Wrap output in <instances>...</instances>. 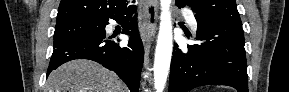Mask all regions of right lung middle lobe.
<instances>
[{
	"instance_id": "right-lung-middle-lobe-1",
	"label": "right lung middle lobe",
	"mask_w": 289,
	"mask_h": 92,
	"mask_svg": "<svg viewBox=\"0 0 289 92\" xmlns=\"http://www.w3.org/2000/svg\"><path fill=\"white\" fill-rule=\"evenodd\" d=\"M102 25L101 21H72L56 24L54 46L75 38L95 35L102 30Z\"/></svg>"
}]
</instances>
